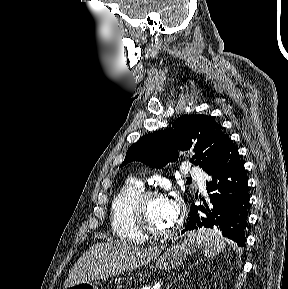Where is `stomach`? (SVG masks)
Returning <instances> with one entry per match:
<instances>
[{
  "label": "stomach",
  "mask_w": 288,
  "mask_h": 289,
  "mask_svg": "<svg viewBox=\"0 0 288 289\" xmlns=\"http://www.w3.org/2000/svg\"><path fill=\"white\" fill-rule=\"evenodd\" d=\"M201 244L188 234L187 238L180 243L171 245L155 259L156 267L160 270H171L181 265L187 255L194 254ZM69 289H99L97 284L91 281L82 282L69 287Z\"/></svg>",
  "instance_id": "0dacf381"
}]
</instances>
